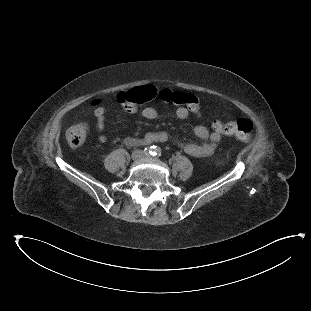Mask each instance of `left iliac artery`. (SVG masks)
Masks as SVG:
<instances>
[{
    "label": "left iliac artery",
    "instance_id": "1",
    "mask_svg": "<svg viewBox=\"0 0 311 311\" xmlns=\"http://www.w3.org/2000/svg\"><path fill=\"white\" fill-rule=\"evenodd\" d=\"M154 156L156 157H160L162 155V151H161V148L160 147H154V151H153V154Z\"/></svg>",
    "mask_w": 311,
    "mask_h": 311
}]
</instances>
